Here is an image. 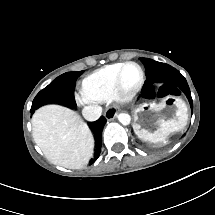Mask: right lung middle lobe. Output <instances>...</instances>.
Masks as SVG:
<instances>
[{"instance_id": "dd1d6c3e", "label": "right lung middle lobe", "mask_w": 215, "mask_h": 215, "mask_svg": "<svg viewBox=\"0 0 215 215\" xmlns=\"http://www.w3.org/2000/svg\"><path fill=\"white\" fill-rule=\"evenodd\" d=\"M82 73L83 71L67 72L53 80L36 95L32 102L31 113L47 103H60L75 108L74 87L77 77Z\"/></svg>"}]
</instances>
